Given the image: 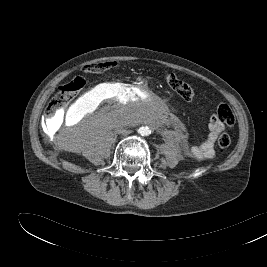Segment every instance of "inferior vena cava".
I'll use <instances>...</instances> for the list:
<instances>
[{
	"mask_svg": "<svg viewBox=\"0 0 267 267\" xmlns=\"http://www.w3.org/2000/svg\"><path fill=\"white\" fill-rule=\"evenodd\" d=\"M124 133H125V134H129V133H130V131H124Z\"/></svg>",
	"mask_w": 267,
	"mask_h": 267,
	"instance_id": "inferior-vena-cava-1",
	"label": "inferior vena cava"
}]
</instances>
